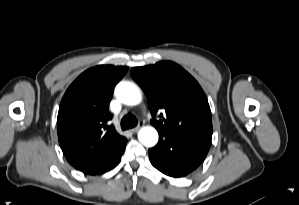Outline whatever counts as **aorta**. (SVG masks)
<instances>
[{"label":"aorta","instance_id":"aorta-1","mask_svg":"<svg viewBox=\"0 0 299 205\" xmlns=\"http://www.w3.org/2000/svg\"><path fill=\"white\" fill-rule=\"evenodd\" d=\"M115 95L127 105H137L142 100L138 87L130 82H120L115 88ZM138 139L144 146L152 147L158 142V132L153 127H143L138 132Z\"/></svg>","mask_w":299,"mask_h":205}]
</instances>
